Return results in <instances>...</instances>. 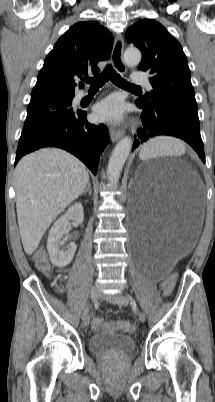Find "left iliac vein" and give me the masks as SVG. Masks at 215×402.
<instances>
[{"instance_id": "4c4485c4", "label": "left iliac vein", "mask_w": 215, "mask_h": 402, "mask_svg": "<svg viewBox=\"0 0 215 402\" xmlns=\"http://www.w3.org/2000/svg\"><path fill=\"white\" fill-rule=\"evenodd\" d=\"M102 297L107 300L108 302L114 304V305H118V306H127L128 304V299L120 294V293H116V294H103ZM138 317L140 322H145L146 320V316L143 312H139L138 313Z\"/></svg>"}]
</instances>
